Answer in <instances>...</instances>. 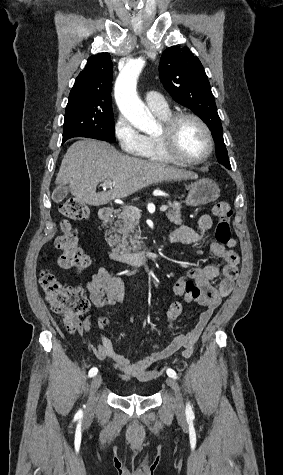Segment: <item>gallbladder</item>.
Here are the masks:
<instances>
[{
    "instance_id": "bac80fb5",
    "label": "gallbladder",
    "mask_w": 283,
    "mask_h": 475,
    "mask_svg": "<svg viewBox=\"0 0 283 475\" xmlns=\"http://www.w3.org/2000/svg\"><path fill=\"white\" fill-rule=\"evenodd\" d=\"M68 192H69L68 186H62V188H57V190H54L52 194L53 202H56V204H59V202H62V200L66 198Z\"/></svg>"
}]
</instances>
